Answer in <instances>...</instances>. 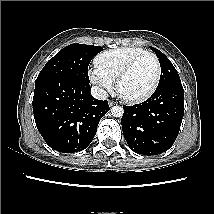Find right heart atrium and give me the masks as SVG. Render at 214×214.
<instances>
[{
    "label": "right heart atrium",
    "instance_id": "d8ad5b80",
    "mask_svg": "<svg viewBox=\"0 0 214 214\" xmlns=\"http://www.w3.org/2000/svg\"><path fill=\"white\" fill-rule=\"evenodd\" d=\"M89 78L103 91H109L113 88L114 82L96 68L89 71Z\"/></svg>",
    "mask_w": 214,
    "mask_h": 214
}]
</instances>
